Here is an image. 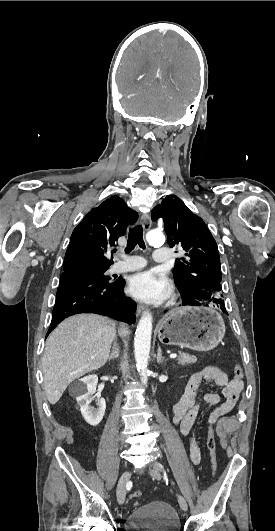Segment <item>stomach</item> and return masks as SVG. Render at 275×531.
I'll return each mask as SVG.
<instances>
[{
	"label": "stomach",
	"mask_w": 275,
	"mask_h": 531,
	"mask_svg": "<svg viewBox=\"0 0 275 531\" xmlns=\"http://www.w3.org/2000/svg\"><path fill=\"white\" fill-rule=\"evenodd\" d=\"M158 339L163 345H177L192 351H211L225 335V323L217 311L189 301L187 307L172 311L160 319Z\"/></svg>",
	"instance_id": "obj_1"
}]
</instances>
